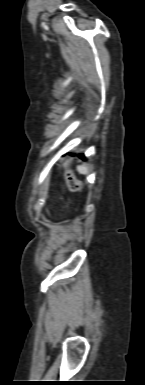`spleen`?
Wrapping results in <instances>:
<instances>
[{
	"mask_svg": "<svg viewBox=\"0 0 145 385\" xmlns=\"http://www.w3.org/2000/svg\"><path fill=\"white\" fill-rule=\"evenodd\" d=\"M77 170L80 174H84V175L88 174V168L85 165L77 166Z\"/></svg>",
	"mask_w": 145,
	"mask_h": 385,
	"instance_id": "1",
	"label": "spleen"
}]
</instances>
